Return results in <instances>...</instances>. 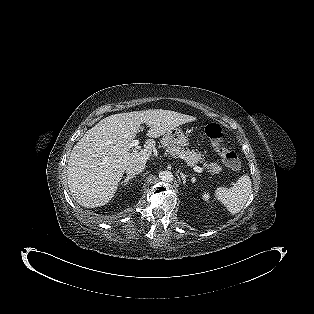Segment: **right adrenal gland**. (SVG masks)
<instances>
[{
	"mask_svg": "<svg viewBox=\"0 0 314 314\" xmlns=\"http://www.w3.org/2000/svg\"><path fill=\"white\" fill-rule=\"evenodd\" d=\"M135 176H127L122 182L121 185L125 186L128 184L129 180H131L132 178H134Z\"/></svg>",
	"mask_w": 314,
	"mask_h": 314,
	"instance_id": "right-adrenal-gland-1",
	"label": "right adrenal gland"
}]
</instances>
